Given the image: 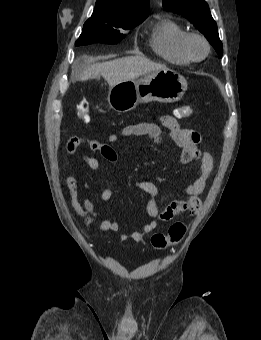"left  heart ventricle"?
Wrapping results in <instances>:
<instances>
[{
	"mask_svg": "<svg viewBox=\"0 0 261 340\" xmlns=\"http://www.w3.org/2000/svg\"><path fill=\"white\" fill-rule=\"evenodd\" d=\"M190 48H191L192 53L196 57H202L205 53V46L203 42L200 41L199 39H193L190 42Z\"/></svg>",
	"mask_w": 261,
	"mask_h": 340,
	"instance_id": "b2bd125f",
	"label": "left heart ventricle"
}]
</instances>
